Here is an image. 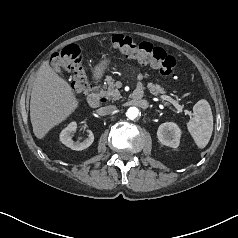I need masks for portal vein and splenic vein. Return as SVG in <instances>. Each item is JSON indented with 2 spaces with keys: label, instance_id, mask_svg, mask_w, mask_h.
<instances>
[{
  "label": "portal vein and splenic vein",
  "instance_id": "1",
  "mask_svg": "<svg viewBox=\"0 0 238 238\" xmlns=\"http://www.w3.org/2000/svg\"><path fill=\"white\" fill-rule=\"evenodd\" d=\"M159 98L171 103L177 109V113H182L183 112L182 107L174 99H172L170 96L162 95ZM184 112L187 113L190 116L192 115L191 112H189V111H184Z\"/></svg>",
  "mask_w": 238,
  "mask_h": 238
}]
</instances>
